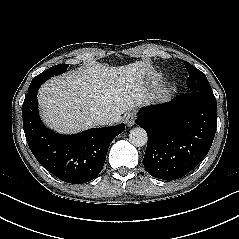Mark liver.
Segmentation results:
<instances>
[{
	"mask_svg": "<svg viewBox=\"0 0 239 239\" xmlns=\"http://www.w3.org/2000/svg\"><path fill=\"white\" fill-rule=\"evenodd\" d=\"M146 72L143 62L119 67L94 63L53 77L38 93L41 117L47 126L64 134L98 126V115L119 122L121 114L145 102Z\"/></svg>",
	"mask_w": 239,
	"mask_h": 239,
	"instance_id": "liver-1",
	"label": "liver"
}]
</instances>
